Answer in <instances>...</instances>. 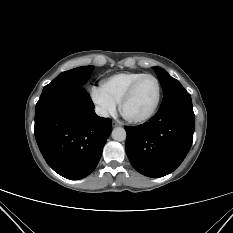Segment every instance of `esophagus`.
<instances>
[{"mask_svg":"<svg viewBox=\"0 0 233 233\" xmlns=\"http://www.w3.org/2000/svg\"><path fill=\"white\" fill-rule=\"evenodd\" d=\"M120 125H122V123L120 121L113 122V126H120Z\"/></svg>","mask_w":233,"mask_h":233,"instance_id":"34e87169","label":"esophagus"}]
</instances>
